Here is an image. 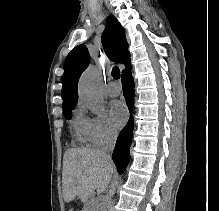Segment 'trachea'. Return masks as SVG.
Returning <instances> with one entry per match:
<instances>
[{"label": "trachea", "mask_w": 219, "mask_h": 211, "mask_svg": "<svg viewBox=\"0 0 219 211\" xmlns=\"http://www.w3.org/2000/svg\"><path fill=\"white\" fill-rule=\"evenodd\" d=\"M112 76L115 80H118L120 78V70L117 66H115L113 69H112Z\"/></svg>", "instance_id": "trachea-1"}]
</instances>
